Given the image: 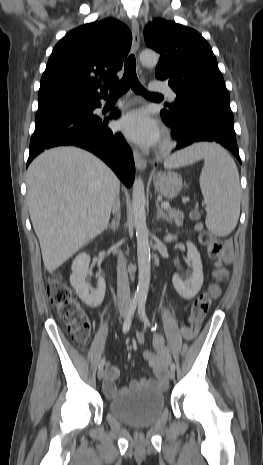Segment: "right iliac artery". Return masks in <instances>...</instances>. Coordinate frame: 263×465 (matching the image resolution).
I'll return each instance as SVG.
<instances>
[{
  "label": "right iliac artery",
  "mask_w": 263,
  "mask_h": 465,
  "mask_svg": "<svg viewBox=\"0 0 263 465\" xmlns=\"http://www.w3.org/2000/svg\"><path fill=\"white\" fill-rule=\"evenodd\" d=\"M138 306V303L137 302H132L131 305H130V308L128 310V313H127V316L124 320V323H123V333H127L131 327V323H132V318L134 316V313H135V310ZM105 364V358H102L100 363H99V368H102Z\"/></svg>",
  "instance_id": "1"
}]
</instances>
